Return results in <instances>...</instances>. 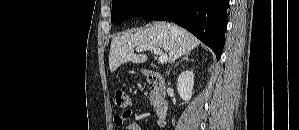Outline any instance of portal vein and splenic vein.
Returning a JSON list of instances; mask_svg holds the SVG:
<instances>
[{
  "instance_id": "portal-vein-and-splenic-vein-1",
  "label": "portal vein and splenic vein",
  "mask_w": 299,
  "mask_h": 130,
  "mask_svg": "<svg viewBox=\"0 0 299 130\" xmlns=\"http://www.w3.org/2000/svg\"><path fill=\"white\" fill-rule=\"evenodd\" d=\"M146 50L154 51V53L159 56L158 57V62L160 64L166 63L168 61V55L164 54L159 47H155V46H139V47H136L137 52H142V51H146Z\"/></svg>"
}]
</instances>
